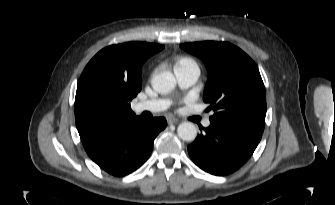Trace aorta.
<instances>
[{
	"mask_svg": "<svg viewBox=\"0 0 335 205\" xmlns=\"http://www.w3.org/2000/svg\"><path fill=\"white\" fill-rule=\"evenodd\" d=\"M176 86V78L169 71L161 72L152 79L153 89L161 94L172 91ZM178 136L184 141H193L197 136V128L191 122H183L177 128Z\"/></svg>",
	"mask_w": 335,
	"mask_h": 205,
	"instance_id": "1",
	"label": "aorta"
}]
</instances>
